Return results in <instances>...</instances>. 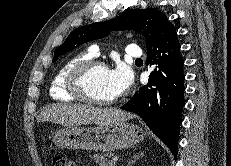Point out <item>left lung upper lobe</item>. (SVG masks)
<instances>
[{
  "mask_svg": "<svg viewBox=\"0 0 231 166\" xmlns=\"http://www.w3.org/2000/svg\"><path fill=\"white\" fill-rule=\"evenodd\" d=\"M174 27L165 14L155 8L133 9L105 22L92 23L72 31L54 54L53 62L62 54L81 44L105 37L109 30H134L146 37L147 50L156 44L167 30Z\"/></svg>",
  "mask_w": 231,
  "mask_h": 166,
  "instance_id": "obj_1",
  "label": "left lung upper lobe"
}]
</instances>
